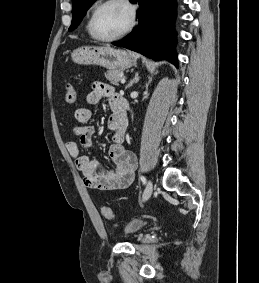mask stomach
Returning a JSON list of instances; mask_svg holds the SVG:
<instances>
[{"label": "stomach", "mask_w": 259, "mask_h": 283, "mask_svg": "<svg viewBox=\"0 0 259 283\" xmlns=\"http://www.w3.org/2000/svg\"><path fill=\"white\" fill-rule=\"evenodd\" d=\"M72 60L83 65H99L110 70L127 69L136 64L134 55L110 46H84L72 53Z\"/></svg>", "instance_id": "1"}]
</instances>
